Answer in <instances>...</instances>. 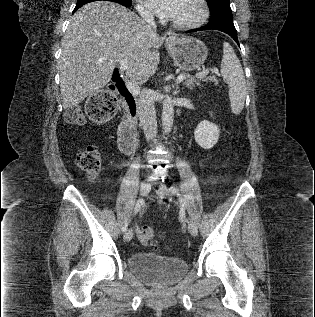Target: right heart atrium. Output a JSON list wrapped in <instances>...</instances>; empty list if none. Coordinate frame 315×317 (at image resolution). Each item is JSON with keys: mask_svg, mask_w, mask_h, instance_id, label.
Wrapping results in <instances>:
<instances>
[{"mask_svg": "<svg viewBox=\"0 0 315 317\" xmlns=\"http://www.w3.org/2000/svg\"><path fill=\"white\" fill-rule=\"evenodd\" d=\"M137 10L138 12L145 18H151L152 17V12L148 8V6L142 1V0H137Z\"/></svg>", "mask_w": 315, "mask_h": 317, "instance_id": "1", "label": "right heart atrium"}]
</instances>
